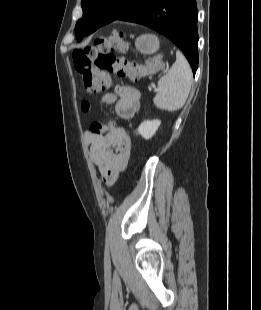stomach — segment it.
I'll list each match as a JSON object with an SVG mask.
<instances>
[{"mask_svg": "<svg viewBox=\"0 0 261 310\" xmlns=\"http://www.w3.org/2000/svg\"><path fill=\"white\" fill-rule=\"evenodd\" d=\"M135 46L143 54H153L159 49V40L155 35L145 34L136 39Z\"/></svg>", "mask_w": 261, "mask_h": 310, "instance_id": "obj_1", "label": "stomach"}]
</instances>
